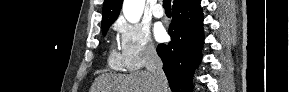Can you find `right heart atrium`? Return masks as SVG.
I'll list each match as a JSON object with an SVG mask.
<instances>
[{"instance_id":"d8ad5b80","label":"right heart atrium","mask_w":289,"mask_h":92,"mask_svg":"<svg viewBox=\"0 0 289 92\" xmlns=\"http://www.w3.org/2000/svg\"><path fill=\"white\" fill-rule=\"evenodd\" d=\"M114 27L120 40V60L125 69L138 70L156 58L157 51L147 27L124 19L118 20Z\"/></svg>"}]
</instances>
